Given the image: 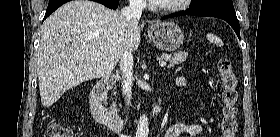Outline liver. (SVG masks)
Masks as SVG:
<instances>
[{
  "instance_id": "liver-1",
  "label": "liver",
  "mask_w": 280,
  "mask_h": 137,
  "mask_svg": "<svg viewBox=\"0 0 280 137\" xmlns=\"http://www.w3.org/2000/svg\"><path fill=\"white\" fill-rule=\"evenodd\" d=\"M140 40L138 24L128 28L119 11L89 0L62 5L40 30L37 75L41 103L50 107L80 83L109 75L125 44L133 52Z\"/></svg>"
}]
</instances>
